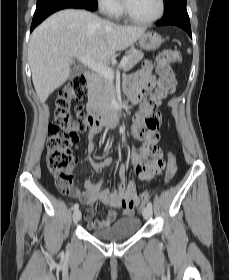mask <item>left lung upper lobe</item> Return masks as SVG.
Here are the masks:
<instances>
[{
	"label": "left lung upper lobe",
	"instance_id": "5c2ea615",
	"mask_svg": "<svg viewBox=\"0 0 229 280\" xmlns=\"http://www.w3.org/2000/svg\"><path fill=\"white\" fill-rule=\"evenodd\" d=\"M187 0H164L165 2V14H168L172 12L174 9H176L178 6H186Z\"/></svg>",
	"mask_w": 229,
	"mask_h": 280
}]
</instances>
